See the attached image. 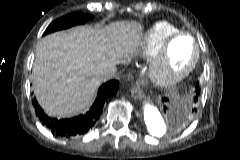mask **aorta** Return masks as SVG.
Listing matches in <instances>:
<instances>
[{
  "instance_id": "1",
  "label": "aorta",
  "mask_w": 240,
  "mask_h": 160,
  "mask_svg": "<svg viewBox=\"0 0 240 160\" xmlns=\"http://www.w3.org/2000/svg\"><path fill=\"white\" fill-rule=\"evenodd\" d=\"M143 121L150 134L161 136L165 133L166 124L160 110L152 103H145L143 106Z\"/></svg>"
}]
</instances>
